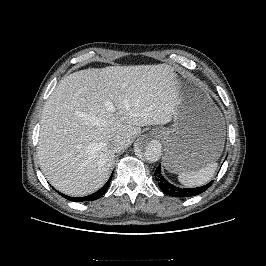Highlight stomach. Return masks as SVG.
Returning a JSON list of instances; mask_svg holds the SVG:
<instances>
[{
    "mask_svg": "<svg viewBox=\"0 0 266 266\" xmlns=\"http://www.w3.org/2000/svg\"><path fill=\"white\" fill-rule=\"evenodd\" d=\"M178 104L173 128L158 127L154 133L166 145L164 165L172 173L197 171L215 162L225 141V121L204 86L176 69Z\"/></svg>",
    "mask_w": 266,
    "mask_h": 266,
    "instance_id": "stomach-1",
    "label": "stomach"
}]
</instances>
